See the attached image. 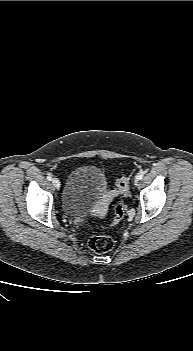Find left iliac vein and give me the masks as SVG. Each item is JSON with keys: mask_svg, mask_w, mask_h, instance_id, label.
Instances as JSON below:
<instances>
[{"mask_svg": "<svg viewBox=\"0 0 193 351\" xmlns=\"http://www.w3.org/2000/svg\"><path fill=\"white\" fill-rule=\"evenodd\" d=\"M139 180L137 178L134 179V185H138Z\"/></svg>", "mask_w": 193, "mask_h": 351, "instance_id": "obj_1", "label": "left iliac vein"}]
</instances>
